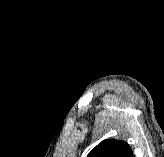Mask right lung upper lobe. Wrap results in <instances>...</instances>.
<instances>
[{"label":"right lung upper lobe","mask_w":164,"mask_h":157,"mask_svg":"<svg viewBox=\"0 0 164 157\" xmlns=\"http://www.w3.org/2000/svg\"><path fill=\"white\" fill-rule=\"evenodd\" d=\"M87 157H134L130 146L121 140L107 139L100 142Z\"/></svg>","instance_id":"1"}]
</instances>
